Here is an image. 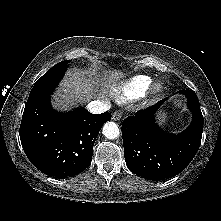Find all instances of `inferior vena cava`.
I'll return each mask as SVG.
<instances>
[{
  "instance_id": "1",
  "label": "inferior vena cava",
  "mask_w": 221,
  "mask_h": 221,
  "mask_svg": "<svg viewBox=\"0 0 221 221\" xmlns=\"http://www.w3.org/2000/svg\"><path fill=\"white\" fill-rule=\"evenodd\" d=\"M110 107V102L100 100L91 101L87 105V109L93 114H101L103 112H106L110 109Z\"/></svg>"
}]
</instances>
